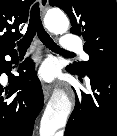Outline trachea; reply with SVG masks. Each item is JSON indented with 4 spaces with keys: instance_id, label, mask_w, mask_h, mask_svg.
Listing matches in <instances>:
<instances>
[{
    "instance_id": "trachea-1",
    "label": "trachea",
    "mask_w": 117,
    "mask_h": 136,
    "mask_svg": "<svg viewBox=\"0 0 117 136\" xmlns=\"http://www.w3.org/2000/svg\"><path fill=\"white\" fill-rule=\"evenodd\" d=\"M36 33L40 41L52 51L74 55V53L65 51L64 49L60 48L45 31L40 19L39 3H35L31 9L27 32L25 33L24 37L17 42L18 50H27Z\"/></svg>"
}]
</instances>
